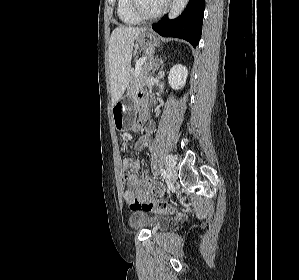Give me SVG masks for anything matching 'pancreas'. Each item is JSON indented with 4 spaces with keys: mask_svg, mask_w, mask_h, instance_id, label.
<instances>
[{
    "mask_svg": "<svg viewBox=\"0 0 299 280\" xmlns=\"http://www.w3.org/2000/svg\"><path fill=\"white\" fill-rule=\"evenodd\" d=\"M148 64L145 63L142 67H141V71L138 77H136L135 72H133L131 74V78H130V83H129V87L128 90L130 93H134L139 87H141L142 85L145 84V78L148 75Z\"/></svg>",
    "mask_w": 299,
    "mask_h": 280,
    "instance_id": "cf45deb5",
    "label": "pancreas"
}]
</instances>
